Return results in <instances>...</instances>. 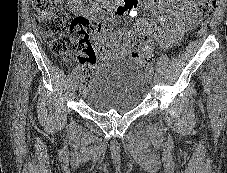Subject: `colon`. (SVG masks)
<instances>
[{
  "label": "colon",
  "instance_id": "1",
  "mask_svg": "<svg viewBox=\"0 0 227 173\" xmlns=\"http://www.w3.org/2000/svg\"><path fill=\"white\" fill-rule=\"evenodd\" d=\"M217 0H199L198 11L203 16H210ZM32 9L36 23L42 36L49 42L51 51L68 60L72 51L79 53L83 60L95 57L91 35H104L109 32L108 26L97 20L86 18H71L61 8V0H32ZM131 56L144 65L152 63L153 58L148 49L133 51ZM92 74L90 68L84 71V80L87 81Z\"/></svg>",
  "mask_w": 227,
  "mask_h": 173
}]
</instances>
